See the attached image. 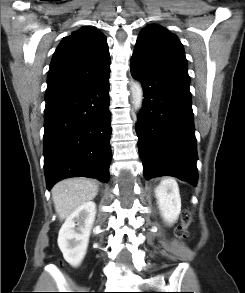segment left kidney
<instances>
[{
	"instance_id": "obj_1",
	"label": "left kidney",
	"mask_w": 245,
	"mask_h": 293,
	"mask_svg": "<svg viewBox=\"0 0 245 293\" xmlns=\"http://www.w3.org/2000/svg\"><path fill=\"white\" fill-rule=\"evenodd\" d=\"M158 208L164 220L173 224L181 212V198L177 182L172 179H164L155 189Z\"/></svg>"
}]
</instances>
